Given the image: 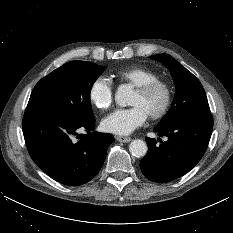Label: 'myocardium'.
Here are the masks:
<instances>
[{
    "instance_id": "f54148a6",
    "label": "myocardium",
    "mask_w": 233,
    "mask_h": 233,
    "mask_svg": "<svg viewBox=\"0 0 233 233\" xmlns=\"http://www.w3.org/2000/svg\"><path fill=\"white\" fill-rule=\"evenodd\" d=\"M157 88H162L164 90L165 98H164V102H163L161 108L157 112L149 115V118L151 120L162 119L168 113V111L172 105V100H173L172 86L166 80L155 79V80L149 81L145 84H142L138 87H135V92H137L138 94H141V95H148L151 92H153L154 90H156Z\"/></svg>"
}]
</instances>
